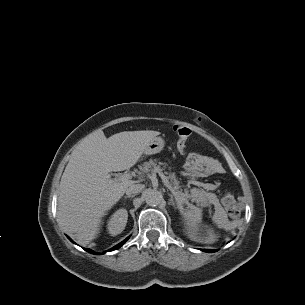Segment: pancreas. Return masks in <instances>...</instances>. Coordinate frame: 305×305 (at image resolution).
<instances>
[{"label":"pancreas","instance_id":"obj_1","mask_svg":"<svg viewBox=\"0 0 305 305\" xmlns=\"http://www.w3.org/2000/svg\"><path fill=\"white\" fill-rule=\"evenodd\" d=\"M163 166V169L166 168L167 164L166 163H161L158 162L157 159H150L148 162H144L143 165L140 167L141 173H148L150 171H153L155 168L161 169V166ZM169 176L167 177L170 179V184L174 188V190H178L180 188L179 186V181L176 178L175 173L169 172ZM179 198H185L182 193L178 194ZM190 198L193 202H196L197 205L201 207H205L208 205V200L210 198V194L204 191L203 189H196L193 188L190 190ZM186 199V198H185Z\"/></svg>","mask_w":305,"mask_h":305}]
</instances>
